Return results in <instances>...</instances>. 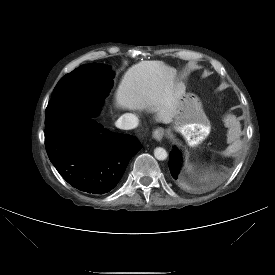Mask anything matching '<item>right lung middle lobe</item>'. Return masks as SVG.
<instances>
[{
  "label": "right lung middle lobe",
  "mask_w": 275,
  "mask_h": 275,
  "mask_svg": "<svg viewBox=\"0 0 275 275\" xmlns=\"http://www.w3.org/2000/svg\"><path fill=\"white\" fill-rule=\"evenodd\" d=\"M113 76L101 64L81 66L65 75L56 85L45 112V128L78 116H96L107 94L102 83Z\"/></svg>",
  "instance_id": "obj_1"
}]
</instances>
